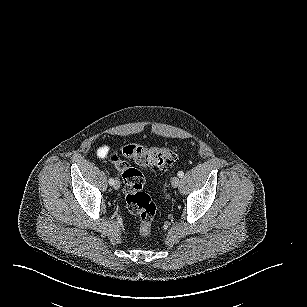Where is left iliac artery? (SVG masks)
<instances>
[{
  "mask_svg": "<svg viewBox=\"0 0 307 307\" xmlns=\"http://www.w3.org/2000/svg\"><path fill=\"white\" fill-rule=\"evenodd\" d=\"M177 175H178L180 178H182V177L184 176V172H183V171H179V172L177 173Z\"/></svg>",
  "mask_w": 307,
  "mask_h": 307,
  "instance_id": "obj_1",
  "label": "left iliac artery"
}]
</instances>
